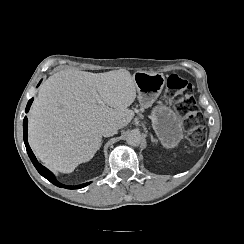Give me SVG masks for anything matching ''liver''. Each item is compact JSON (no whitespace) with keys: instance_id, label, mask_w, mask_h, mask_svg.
I'll use <instances>...</instances> for the list:
<instances>
[{"instance_id":"1","label":"liver","mask_w":244,"mask_h":244,"mask_svg":"<svg viewBox=\"0 0 244 244\" xmlns=\"http://www.w3.org/2000/svg\"><path fill=\"white\" fill-rule=\"evenodd\" d=\"M99 93L104 106L98 104ZM132 74L125 69L107 73L62 70L39 89L29 117V141L49 168L70 173L90 161L102 140L101 127L114 122L126 127L135 113ZM107 105V108H106Z\"/></svg>"}]
</instances>
